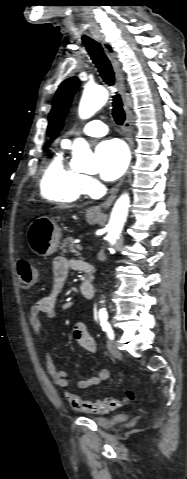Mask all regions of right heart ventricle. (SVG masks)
<instances>
[{"instance_id": "right-heart-ventricle-1", "label": "right heart ventricle", "mask_w": 187, "mask_h": 479, "mask_svg": "<svg viewBox=\"0 0 187 479\" xmlns=\"http://www.w3.org/2000/svg\"><path fill=\"white\" fill-rule=\"evenodd\" d=\"M64 142L48 159L40 180V192L44 199L59 203H72L84 192L83 175L66 162Z\"/></svg>"}]
</instances>
